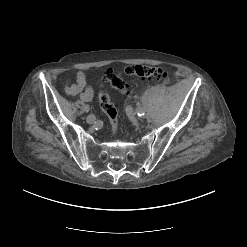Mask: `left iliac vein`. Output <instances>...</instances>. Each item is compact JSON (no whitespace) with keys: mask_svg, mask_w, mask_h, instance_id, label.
I'll return each mask as SVG.
<instances>
[{"mask_svg":"<svg viewBox=\"0 0 247 247\" xmlns=\"http://www.w3.org/2000/svg\"><path fill=\"white\" fill-rule=\"evenodd\" d=\"M129 117H130V120L133 122V123H136L137 122V116L134 112H130L129 113Z\"/></svg>","mask_w":247,"mask_h":247,"instance_id":"left-iliac-vein-1","label":"left iliac vein"}]
</instances>
